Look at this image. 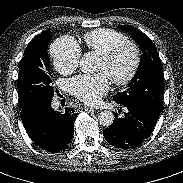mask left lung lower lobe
Segmentation results:
<instances>
[{
    "instance_id": "obj_1",
    "label": "left lung lower lobe",
    "mask_w": 183,
    "mask_h": 183,
    "mask_svg": "<svg viewBox=\"0 0 183 183\" xmlns=\"http://www.w3.org/2000/svg\"><path fill=\"white\" fill-rule=\"evenodd\" d=\"M124 106L128 110L125 116L120 118L114 113L115 120L104 130L103 135L112 146L126 150L139 146L150 136L159 115L137 104L128 103Z\"/></svg>"
}]
</instances>
